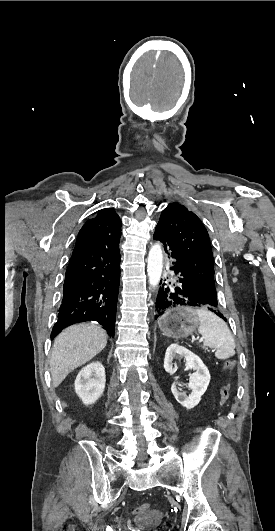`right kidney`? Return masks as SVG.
Segmentation results:
<instances>
[{"mask_svg": "<svg viewBox=\"0 0 275 531\" xmlns=\"http://www.w3.org/2000/svg\"><path fill=\"white\" fill-rule=\"evenodd\" d=\"M105 383V369L102 363L95 361L79 371L74 383L75 393L84 405H93L102 397Z\"/></svg>", "mask_w": 275, "mask_h": 531, "instance_id": "1", "label": "right kidney"}]
</instances>
